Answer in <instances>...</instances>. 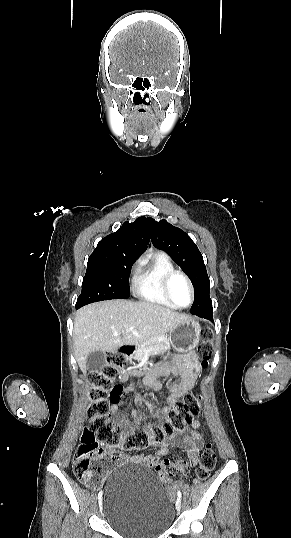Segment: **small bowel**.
<instances>
[{
  "instance_id": "obj_1",
  "label": "small bowel",
  "mask_w": 291,
  "mask_h": 538,
  "mask_svg": "<svg viewBox=\"0 0 291 538\" xmlns=\"http://www.w3.org/2000/svg\"><path fill=\"white\" fill-rule=\"evenodd\" d=\"M199 370V357L197 354H188L180 358L178 363L171 368L173 376L178 383L170 385L169 394L166 398V405L156 413V416L166 415L184 394L192 390L198 377ZM165 374L164 370H159L158 373L146 377L144 382L148 387L158 388L160 386L159 377ZM128 377V373L124 374L117 384L121 385L126 382ZM129 391L130 388L123 387L122 394L125 395ZM137 401H140V398H137ZM119 407L120 403L113 401L111 405V413L118 421L123 434L128 436L133 431L135 423L139 421L140 415L136 410H133L130 415L120 414ZM130 417L133 418L134 421H131ZM200 427L199 420L195 419L192 420L191 429L188 432L179 431L174 436L166 437L160 444L154 442L151 443L153 446L176 445L187 453V460L179 461L173 466L175 472L179 473L180 476H185L188 470L197 464L198 454L204 443ZM165 454L166 452L164 450H160L157 453V457L164 456ZM152 458V456H142L139 454L125 455L121 453L111 456V459L116 465L124 462L143 463Z\"/></svg>"
}]
</instances>
